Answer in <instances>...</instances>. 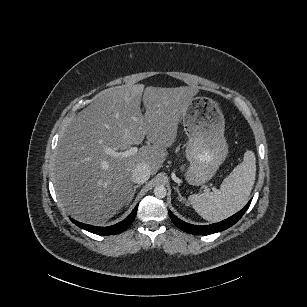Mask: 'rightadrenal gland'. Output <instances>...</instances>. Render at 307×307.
Here are the masks:
<instances>
[{
  "label": "right adrenal gland",
  "instance_id": "2a0ac1e0",
  "mask_svg": "<svg viewBox=\"0 0 307 307\" xmlns=\"http://www.w3.org/2000/svg\"><path fill=\"white\" fill-rule=\"evenodd\" d=\"M138 187H140V185H135V186H133V190H132V192H131V194H130V199H129V201H131V200L133 199V197H134V195H135V192H136V189H137Z\"/></svg>",
  "mask_w": 307,
  "mask_h": 307
}]
</instances>
